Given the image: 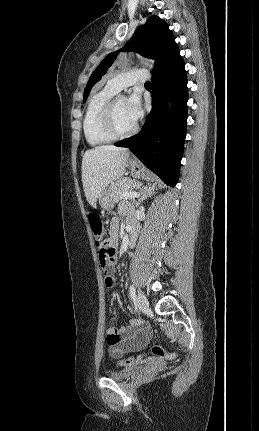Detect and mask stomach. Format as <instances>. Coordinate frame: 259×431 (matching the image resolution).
Wrapping results in <instances>:
<instances>
[{"mask_svg": "<svg viewBox=\"0 0 259 431\" xmlns=\"http://www.w3.org/2000/svg\"><path fill=\"white\" fill-rule=\"evenodd\" d=\"M127 166L135 178L153 180L152 176L147 174L144 168L138 162L130 160ZM99 204L105 210H110L113 207L114 202L111 198V187L108 186L100 194Z\"/></svg>", "mask_w": 259, "mask_h": 431, "instance_id": "1", "label": "stomach"}]
</instances>
